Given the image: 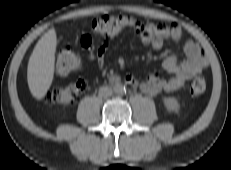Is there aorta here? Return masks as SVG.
<instances>
[{"mask_svg": "<svg viewBox=\"0 0 231 170\" xmlns=\"http://www.w3.org/2000/svg\"><path fill=\"white\" fill-rule=\"evenodd\" d=\"M114 92L118 95H123L126 93V87L121 83H117L114 86Z\"/></svg>", "mask_w": 231, "mask_h": 170, "instance_id": "obj_1", "label": "aorta"}]
</instances>
